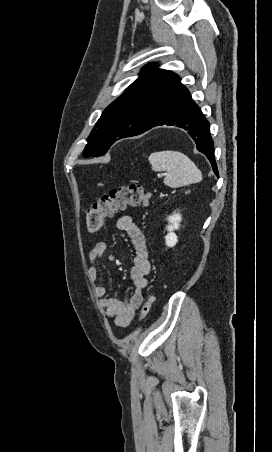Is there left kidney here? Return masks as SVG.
Wrapping results in <instances>:
<instances>
[{"instance_id": "5707ae66", "label": "left kidney", "mask_w": 272, "mask_h": 452, "mask_svg": "<svg viewBox=\"0 0 272 452\" xmlns=\"http://www.w3.org/2000/svg\"><path fill=\"white\" fill-rule=\"evenodd\" d=\"M181 220L182 217L179 213H175L168 217L169 225L166 227L168 234L165 236V243L168 247H174L178 242L177 235L174 233V231L180 228Z\"/></svg>"}]
</instances>
